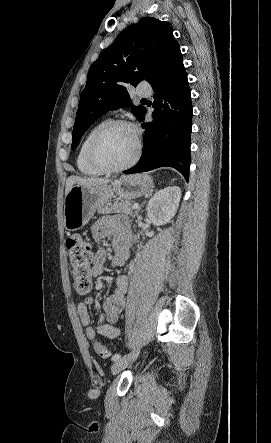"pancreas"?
Masks as SVG:
<instances>
[{"mask_svg":"<svg viewBox=\"0 0 271 443\" xmlns=\"http://www.w3.org/2000/svg\"><path fill=\"white\" fill-rule=\"evenodd\" d=\"M138 212V208L136 212L132 210V204L129 200H117L114 204H110V206H105V208H99L98 214H128V216H132L135 218Z\"/></svg>","mask_w":271,"mask_h":443,"instance_id":"cf45deb5","label":"pancreas"}]
</instances>
